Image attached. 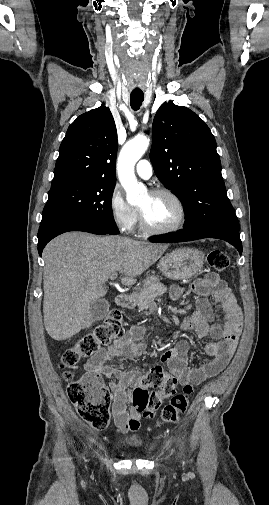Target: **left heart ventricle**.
Masks as SVG:
<instances>
[{"mask_svg":"<svg viewBox=\"0 0 269 505\" xmlns=\"http://www.w3.org/2000/svg\"><path fill=\"white\" fill-rule=\"evenodd\" d=\"M139 210L155 227H168L175 224L180 217L177 204L168 196H154L146 194L140 201Z\"/></svg>","mask_w":269,"mask_h":505,"instance_id":"1","label":"left heart ventricle"}]
</instances>
